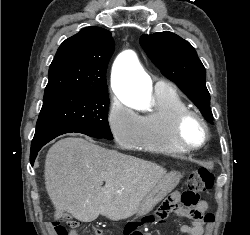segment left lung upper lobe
I'll list each match as a JSON object with an SVG mask.
<instances>
[{
  "mask_svg": "<svg viewBox=\"0 0 250 235\" xmlns=\"http://www.w3.org/2000/svg\"><path fill=\"white\" fill-rule=\"evenodd\" d=\"M140 44L162 74L177 84L206 120L212 121L206 71L191 44L169 31L144 34Z\"/></svg>",
  "mask_w": 250,
  "mask_h": 235,
  "instance_id": "5c2ea615",
  "label": "left lung upper lobe"
}]
</instances>
